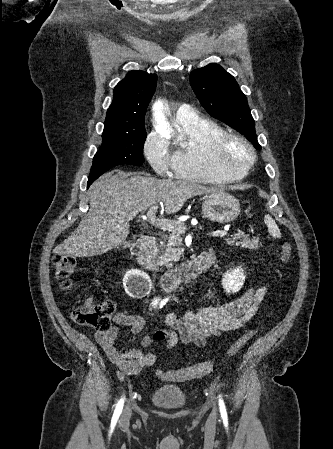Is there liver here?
Segmentation results:
<instances>
[{"label": "liver", "instance_id": "6515ba94", "mask_svg": "<svg viewBox=\"0 0 333 449\" xmlns=\"http://www.w3.org/2000/svg\"><path fill=\"white\" fill-rule=\"evenodd\" d=\"M216 191L195 183L159 180L139 173L107 172L90 187L89 212L55 252L76 257L106 253L126 240L130 221L149 207L162 201L166 214H175L188 199Z\"/></svg>", "mask_w": 333, "mask_h": 449}]
</instances>
